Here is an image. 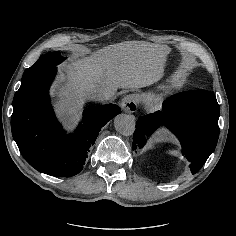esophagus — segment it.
<instances>
[{
	"mask_svg": "<svg viewBox=\"0 0 236 236\" xmlns=\"http://www.w3.org/2000/svg\"><path fill=\"white\" fill-rule=\"evenodd\" d=\"M120 106L124 112H135L137 110V102L135 96L133 94L125 96L122 99Z\"/></svg>",
	"mask_w": 236,
	"mask_h": 236,
	"instance_id": "obj_1",
	"label": "esophagus"
}]
</instances>
